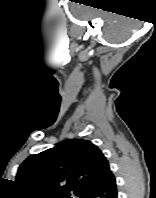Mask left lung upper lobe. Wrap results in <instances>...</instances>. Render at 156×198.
<instances>
[{
  "instance_id": "5c2ea615",
  "label": "left lung upper lobe",
  "mask_w": 156,
  "mask_h": 198,
  "mask_svg": "<svg viewBox=\"0 0 156 198\" xmlns=\"http://www.w3.org/2000/svg\"><path fill=\"white\" fill-rule=\"evenodd\" d=\"M110 171L96 145L71 139L29 156L20 165L15 181L27 198H72L71 192L81 198Z\"/></svg>"
}]
</instances>
